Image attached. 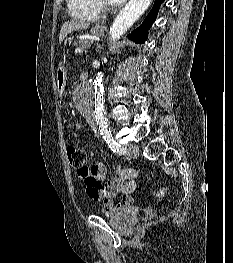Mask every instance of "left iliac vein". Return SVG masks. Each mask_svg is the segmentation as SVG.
Segmentation results:
<instances>
[{"label": "left iliac vein", "instance_id": "4c4485c4", "mask_svg": "<svg viewBox=\"0 0 233 263\" xmlns=\"http://www.w3.org/2000/svg\"><path fill=\"white\" fill-rule=\"evenodd\" d=\"M126 152H127V156L131 158H136L139 154L137 146L133 144H128L126 146Z\"/></svg>", "mask_w": 233, "mask_h": 263}]
</instances>
